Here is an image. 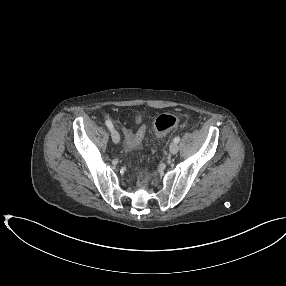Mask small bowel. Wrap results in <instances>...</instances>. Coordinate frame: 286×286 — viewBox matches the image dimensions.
Wrapping results in <instances>:
<instances>
[{"label": "small bowel", "mask_w": 286, "mask_h": 286, "mask_svg": "<svg viewBox=\"0 0 286 286\" xmlns=\"http://www.w3.org/2000/svg\"><path fill=\"white\" fill-rule=\"evenodd\" d=\"M123 132H124V135H125L126 139L133 135V132L130 129H128V128H124Z\"/></svg>", "instance_id": "c3829d8e"}]
</instances>
